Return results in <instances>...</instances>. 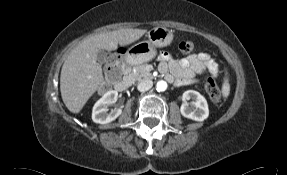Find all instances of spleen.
I'll return each mask as SVG.
<instances>
[{
	"label": "spleen",
	"instance_id": "1",
	"mask_svg": "<svg viewBox=\"0 0 287 175\" xmlns=\"http://www.w3.org/2000/svg\"><path fill=\"white\" fill-rule=\"evenodd\" d=\"M229 93H230V84H229V79L228 77H226L224 79V83H223V86H222V94H223V97L224 98H227L229 96Z\"/></svg>",
	"mask_w": 287,
	"mask_h": 175
}]
</instances>
